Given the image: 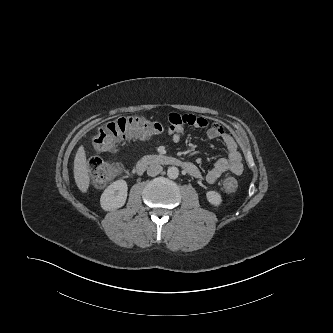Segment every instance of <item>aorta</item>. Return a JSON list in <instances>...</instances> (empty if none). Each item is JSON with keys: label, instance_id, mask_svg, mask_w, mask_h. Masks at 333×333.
Here are the masks:
<instances>
[{"label": "aorta", "instance_id": "aorta-1", "mask_svg": "<svg viewBox=\"0 0 333 333\" xmlns=\"http://www.w3.org/2000/svg\"><path fill=\"white\" fill-rule=\"evenodd\" d=\"M179 175V170L177 167H169L168 170H167V176L170 178V179H176Z\"/></svg>", "mask_w": 333, "mask_h": 333}]
</instances>
